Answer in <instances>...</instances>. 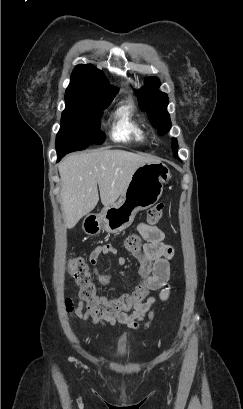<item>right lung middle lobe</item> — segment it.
I'll return each mask as SVG.
<instances>
[{
  "label": "right lung middle lobe",
  "instance_id": "1",
  "mask_svg": "<svg viewBox=\"0 0 243 409\" xmlns=\"http://www.w3.org/2000/svg\"><path fill=\"white\" fill-rule=\"evenodd\" d=\"M114 96L102 100H68L62 113L61 128L56 137L57 155L83 150L91 144H102L105 135L100 131L103 110Z\"/></svg>",
  "mask_w": 243,
  "mask_h": 409
}]
</instances>
